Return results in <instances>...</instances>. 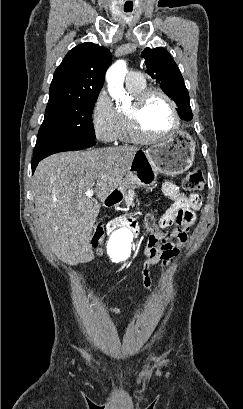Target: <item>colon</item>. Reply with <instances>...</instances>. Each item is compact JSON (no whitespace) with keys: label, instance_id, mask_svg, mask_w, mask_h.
Wrapping results in <instances>:
<instances>
[{"label":"colon","instance_id":"1","mask_svg":"<svg viewBox=\"0 0 243 409\" xmlns=\"http://www.w3.org/2000/svg\"><path fill=\"white\" fill-rule=\"evenodd\" d=\"M183 186L188 191H199L205 187V176L200 168H195L190 171L183 182ZM145 226L147 231L151 235H157L162 231L159 230L157 225L156 216L149 214L145 218ZM104 236V229L101 224H97L93 228V233L91 236V243L93 246H97Z\"/></svg>","mask_w":243,"mask_h":409}]
</instances>
